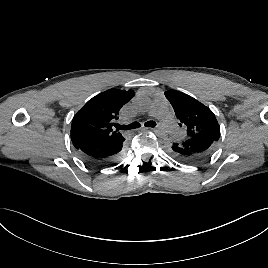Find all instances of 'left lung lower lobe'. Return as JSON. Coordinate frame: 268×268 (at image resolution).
<instances>
[{"label":"left lung lower lobe","mask_w":268,"mask_h":268,"mask_svg":"<svg viewBox=\"0 0 268 268\" xmlns=\"http://www.w3.org/2000/svg\"><path fill=\"white\" fill-rule=\"evenodd\" d=\"M216 145L217 141L209 137H186L168 142L166 151L181 163L196 164L209 158Z\"/></svg>","instance_id":"0a47b994"}]
</instances>
